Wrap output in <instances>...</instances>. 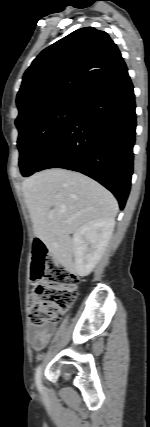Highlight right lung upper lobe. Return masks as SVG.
Masks as SVG:
<instances>
[{"instance_id": "right-lung-upper-lobe-1", "label": "right lung upper lobe", "mask_w": 150, "mask_h": 427, "mask_svg": "<svg viewBox=\"0 0 150 427\" xmlns=\"http://www.w3.org/2000/svg\"><path fill=\"white\" fill-rule=\"evenodd\" d=\"M126 71L119 49L106 32L78 29L44 49L25 72L16 99L18 118L44 106H79Z\"/></svg>"}]
</instances>
